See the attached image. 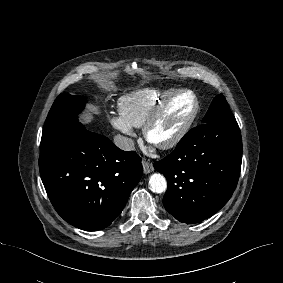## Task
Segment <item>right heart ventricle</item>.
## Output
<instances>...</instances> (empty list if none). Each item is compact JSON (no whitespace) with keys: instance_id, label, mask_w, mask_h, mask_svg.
<instances>
[{"instance_id":"right-heart-ventricle-1","label":"right heart ventricle","mask_w":283,"mask_h":283,"mask_svg":"<svg viewBox=\"0 0 283 283\" xmlns=\"http://www.w3.org/2000/svg\"><path fill=\"white\" fill-rule=\"evenodd\" d=\"M174 90L144 87L121 98L120 114L133 127H142L150 113Z\"/></svg>"}]
</instances>
